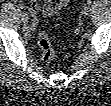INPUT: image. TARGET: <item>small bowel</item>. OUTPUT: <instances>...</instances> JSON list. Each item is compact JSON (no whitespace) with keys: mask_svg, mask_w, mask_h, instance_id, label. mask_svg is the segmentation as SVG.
Returning a JSON list of instances; mask_svg holds the SVG:
<instances>
[{"mask_svg":"<svg viewBox=\"0 0 111 106\" xmlns=\"http://www.w3.org/2000/svg\"><path fill=\"white\" fill-rule=\"evenodd\" d=\"M68 0H58V1H47L43 6V14L45 16H53L60 9L68 4Z\"/></svg>","mask_w":111,"mask_h":106,"instance_id":"1","label":"small bowel"}]
</instances>
